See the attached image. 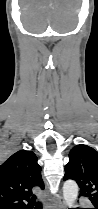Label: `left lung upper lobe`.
Wrapping results in <instances>:
<instances>
[{
    "instance_id": "1",
    "label": "left lung upper lobe",
    "mask_w": 98,
    "mask_h": 209,
    "mask_svg": "<svg viewBox=\"0 0 98 209\" xmlns=\"http://www.w3.org/2000/svg\"><path fill=\"white\" fill-rule=\"evenodd\" d=\"M64 180H75L80 195L89 198L98 209V152L87 145H77L69 153Z\"/></svg>"
}]
</instances>
